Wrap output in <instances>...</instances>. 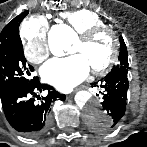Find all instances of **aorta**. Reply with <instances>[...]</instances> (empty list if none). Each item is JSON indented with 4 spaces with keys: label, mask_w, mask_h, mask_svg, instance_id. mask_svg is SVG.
<instances>
[{
    "label": "aorta",
    "mask_w": 147,
    "mask_h": 147,
    "mask_svg": "<svg viewBox=\"0 0 147 147\" xmlns=\"http://www.w3.org/2000/svg\"><path fill=\"white\" fill-rule=\"evenodd\" d=\"M74 36V32L69 28L62 29L58 34H50L48 41L52 54L62 56L70 52ZM75 100L90 124L105 123L109 120L110 116L102 109L100 102L95 97L81 92Z\"/></svg>",
    "instance_id": "obj_1"
}]
</instances>
